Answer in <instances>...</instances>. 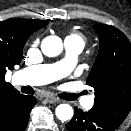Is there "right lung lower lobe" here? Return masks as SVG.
Listing matches in <instances>:
<instances>
[{
  "label": "right lung lower lobe",
  "instance_id": "obj_1",
  "mask_svg": "<svg viewBox=\"0 0 131 131\" xmlns=\"http://www.w3.org/2000/svg\"><path fill=\"white\" fill-rule=\"evenodd\" d=\"M37 100L33 96L21 95L13 101L4 112L0 122V131H24L30 116V111Z\"/></svg>",
  "mask_w": 131,
  "mask_h": 131
}]
</instances>
